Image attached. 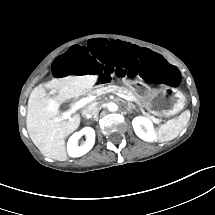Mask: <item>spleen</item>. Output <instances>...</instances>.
Returning a JSON list of instances; mask_svg holds the SVG:
<instances>
[{"mask_svg":"<svg viewBox=\"0 0 215 215\" xmlns=\"http://www.w3.org/2000/svg\"><path fill=\"white\" fill-rule=\"evenodd\" d=\"M187 112V111H185ZM187 121H184L182 117L168 120L166 123L161 125L156 133L158 141H169L179 135L181 130L185 127Z\"/></svg>","mask_w":215,"mask_h":215,"instance_id":"spleen-1","label":"spleen"}]
</instances>
